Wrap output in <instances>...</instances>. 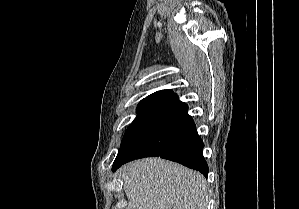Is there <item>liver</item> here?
<instances>
[{"label":"liver","mask_w":299,"mask_h":209,"mask_svg":"<svg viewBox=\"0 0 299 209\" xmlns=\"http://www.w3.org/2000/svg\"><path fill=\"white\" fill-rule=\"evenodd\" d=\"M127 209H206L208 188L196 171L161 158L130 162L120 169Z\"/></svg>","instance_id":"1"}]
</instances>
